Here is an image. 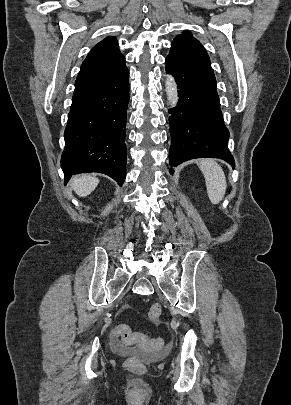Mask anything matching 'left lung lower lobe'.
Returning a JSON list of instances; mask_svg holds the SVG:
<instances>
[{
    "label": "left lung lower lobe",
    "instance_id": "obj_1",
    "mask_svg": "<svg viewBox=\"0 0 291 405\" xmlns=\"http://www.w3.org/2000/svg\"><path fill=\"white\" fill-rule=\"evenodd\" d=\"M165 60L166 71L175 77L179 89L177 106L169 109L172 113L170 166L210 157L225 160L234 167L228 149L230 133L224 125L216 79L205 48L187 38L176 37Z\"/></svg>",
    "mask_w": 291,
    "mask_h": 405
}]
</instances>
